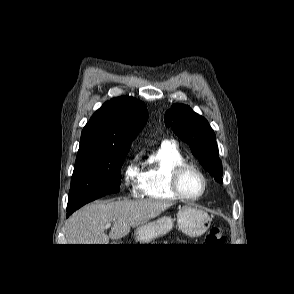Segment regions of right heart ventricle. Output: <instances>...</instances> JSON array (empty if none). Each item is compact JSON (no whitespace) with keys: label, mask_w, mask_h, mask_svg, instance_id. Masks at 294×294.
Listing matches in <instances>:
<instances>
[{"label":"right heart ventricle","mask_w":294,"mask_h":294,"mask_svg":"<svg viewBox=\"0 0 294 294\" xmlns=\"http://www.w3.org/2000/svg\"><path fill=\"white\" fill-rule=\"evenodd\" d=\"M184 160L175 145L162 143L142 167L141 194L152 200H177L170 188V173Z\"/></svg>","instance_id":"e07e8e85"}]
</instances>
